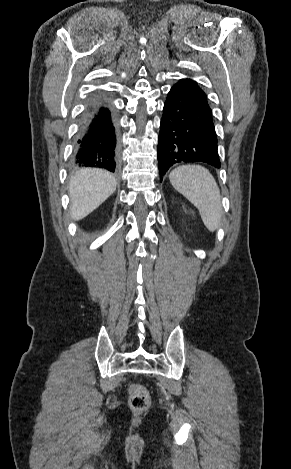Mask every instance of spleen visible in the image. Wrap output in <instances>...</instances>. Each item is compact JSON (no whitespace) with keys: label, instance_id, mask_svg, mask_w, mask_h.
I'll return each mask as SVG.
<instances>
[{"label":"spleen","instance_id":"1","mask_svg":"<svg viewBox=\"0 0 291 469\" xmlns=\"http://www.w3.org/2000/svg\"><path fill=\"white\" fill-rule=\"evenodd\" d=\"M169 180L198 209L206 228L217 230L223 209L219 187L209 170L200 165L179 166L171 171Z\"/></svg>","mask_w":291,"mask_h":469}]
</instances>
